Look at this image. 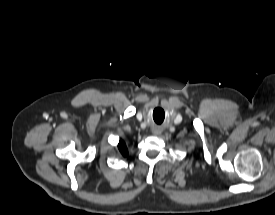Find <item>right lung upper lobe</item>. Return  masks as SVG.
<instances>
[{"mask_svg": "<svg viewBox=\"0 0 275 215\" xmlns=\"http://www.w3.org/2000/svg\"><path fill=\"white\" fill-rule=\"evenodd\" d=\"M118 148H119V150H120V152L122 153L123 156H127V154H128L127 147H126V144L123 141L119 142Z\"/></svg>", "mask_w": 275, "mask_h": 215, "instance_id": "right-lung-upper-lobe-1", "label": "right lung upper lobe"}]
</instances>
